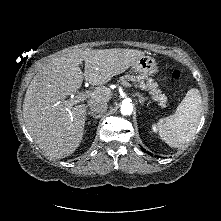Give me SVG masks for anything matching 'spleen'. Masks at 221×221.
<instances>
[{
  "mask_svg": "<svg viewBox=\"0 0 221 221\" xmlns=\"http://www.w3.org/2000/svg\"><path fill=\"white\" fill-rule=\"evenodd\" d=\"M202 113V99L198 89L188 90L176 112L159 119V136L172 148H181L194 136Z\"/></svg>",
  "mask_w": 221,
  "mask_h": 221,
  "instance_id": "1",
  "label": "spleen"
}]
</instances>
